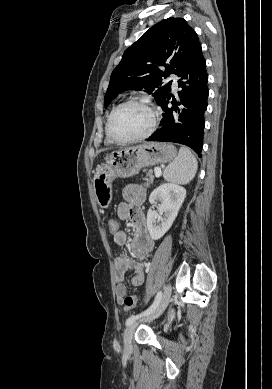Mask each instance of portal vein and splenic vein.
Listing matches in <instances>:
<instances>
[{"mask_svg":"<svg viewBox=\"0 0 272 389\" xmlns=\"http://www.w3.org/2000/svg\"><path fill=\"white\" fill-rule=\"evenodd\" d=\"M154 172H155V175H156V177H160L161 176V169L160 168H158V167H156L155 169H154Z\"/></svg>","mask_w":272,"mask_h":389,"instance_id":"18ae733b","label":"portal vein and splenic vein"}]
</instances>
